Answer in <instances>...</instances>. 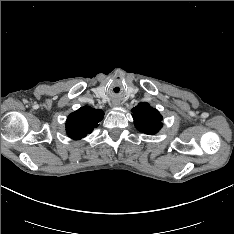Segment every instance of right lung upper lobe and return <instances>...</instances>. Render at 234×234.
Instances as JSON below:
<instances>
[{
	"label": "right lung upper lobe",
	"mask_w": 234,
	"mask_h": 234,
	"mask_svg": "<svg viewBox=\"0 0 234 234\" xmlns=\"http://www.w3.org/2000/svg\"><path fill=\"white\" fill-rule=\"evenodd\" d=\"M104 112L84 106L71 113L66 121V132L72 139L78 140L91 133L102 120Z\"/></svg>",
	"instance_id": "obj_1"
}]
</instances>
